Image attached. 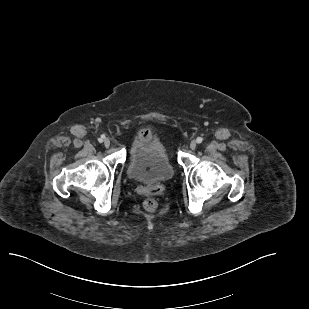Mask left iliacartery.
<instances>
[{
    "label": "left iliac artery",
    "instance_id": "1",
    "mask_svg": "<svg viewBox=\"0 0 309 309\" xmlns=\"http://www.w3.org/2000/svg\"><path fill=\"white\" fill-rule=\"evenodd\" d=\"M202 141H203V138H202V137H197V139H196V142H197V143L200 144V143H202Z\"/></svg>",
    "mask_w": 309,
    "mask_h": 309
}]
</instances>
